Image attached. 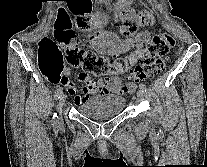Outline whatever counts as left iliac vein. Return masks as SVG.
<instances>
[{
    "label": "left iliac vein",
    "instance_id": "obj_1",
    "mask_svg": "<svg viewBox=\"0 0 207 167\" xmlns=\"http://www.w3.org/2000/svg\"><path fill=\"white\" fill-rule=\"evenodd\" d=\"M143 96H144V93H143V91L140 89V90H138L137 91V97L138 98H140V99H142L143 98Z\"/></svg>",
    "mask_w": 207,
    "mask_h": 167
}]
</instances>
